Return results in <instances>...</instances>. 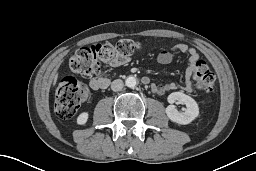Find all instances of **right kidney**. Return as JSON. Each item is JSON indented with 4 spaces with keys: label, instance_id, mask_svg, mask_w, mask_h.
Returning <instances> with one entry per match:
<instances>
[{
    "label": "right kidney",
    "instance_id": "obj_1",
    "mask_svg": "<svg viewBox=\"0 0 256 171\" xmlns=\"http://www.w3.org/2000/svg\"><path fill=\"white\" fill-rule=\"evenodd\" d=\"M89 114L88 112H83L77 117V124L84 125L88 121Z\"/></svg>",
    "mask_w": 256,
    "mask_h": 171
}]
</instances>
